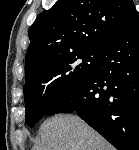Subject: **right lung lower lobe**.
<instances>
[{"label": "right lung lower lobe", "instance_id": "98d812e1", "mask_svg": "<svg viewBox=\"0 0 139 150\" xmlns=\"http://www.w3.org/2000/svg\"><path fill=\"white\" fill-rule=\"evenodd\" d=\"M76 113L118 150H139V15L100 50L91 75L48 113Z\"/></svg>", "mask_w": 139, "mask_h": 150}]
</instances>
